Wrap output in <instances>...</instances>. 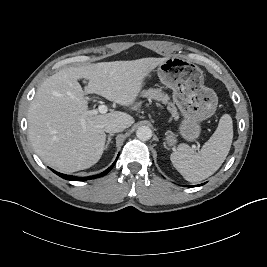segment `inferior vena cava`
Listing matches in <instances>:
<instances>
[{"mask_svg":"<svg viewBox=\"0 0 267 267\" xmlns=\"http://www.w3.org/2000/svg\"><path fill=\"white\" fill-rule=\"evenodd\" d=\"M125 128H127L126 124L119 120L108 121L104 126V130L107 133H118L123 131Z\"/></svg>","mask_w":267,"mask_h":267,"instance_id":"602c4592","label":"inferior vena cava"}]
</instances>
